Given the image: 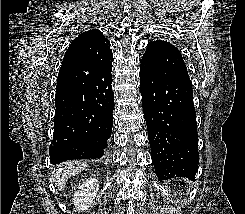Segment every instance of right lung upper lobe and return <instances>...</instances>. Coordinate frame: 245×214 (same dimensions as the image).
<instances>
[{
    "instance_id": "right-lung-upper-lobe-1",
    "label": "right lung upper lobe",
    "mask_w": 245,
    "mask_h": 214,
    "mask_svg": "<svg viewBox=\"0 0 245 214\" xmlns=\"http://www.w3.org/2000/svg\"><path fill=\"white\" fill-rule=\"evenodd\" d=\"M113 60L110 42L99 30L81 33L67 49L62 66L74 69V85L84 87L95 75L97 68Z\"/></svg>"
}]
</instances>
